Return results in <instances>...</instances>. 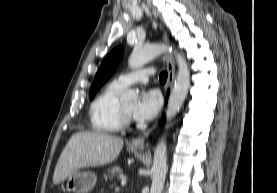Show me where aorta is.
<instances>
[{
	"instance_id": "obj_1",
	"label": "aorta",
	"mask_w": 277,
	"mask_h": 193,
	"mask_svg": "<svg viewBox=\"0 0 277 193\" xmlns=\"http://www.w3.org/2000/svg\"><path fill=\"white\" fill-rule=\"evenodd\" d=\"M166 50L172 51L161 44H151L145 47H135L129 57L128 65L132 69L142 67ZM178 63V74L175 79L174 88L171 91L167 105V121H171L179 112L189 90L190 71L185 58L174 51ZM138 93L134 90H125L121 95L122 102H136ZM167 172L166 141L162 138L154 151L152 166V185L150 193H161Z\"/></svg>"
}]
</instances>
